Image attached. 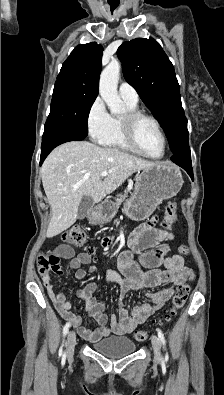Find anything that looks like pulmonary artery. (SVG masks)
Here are the masks:
<instances>
[{
    "mask_svg": "<svg viewBox=\"0 0 224 395\" xmlns=\"http://www.w3.org/2000/svg\"><path fill=\"white\" fill-rule=\"evenodd\" d=\"M119 95L124 101L129 103L137 104L138 102V93L130 84L126 82H122L120 84Z\"/></svg>",
    "mask_w": 224,
    "mask_h": 395,
    "instance_id": "pulmonary-artery-1",
    "label": "pulmonary artery"
}]
</instances>
